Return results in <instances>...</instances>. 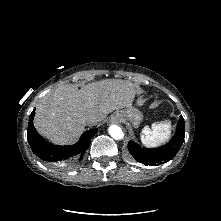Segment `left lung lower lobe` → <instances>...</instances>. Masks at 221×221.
I'll use <instances>...</instances> for the list:
<instances>
[{
  "mask_svg": "<svg viewBox=\"0 0 221 221\" xmlns=\"http://www.w3.org/2000/svg\"><path fill=\"white\" fill-rule=\"evenodd\" d=\"M185 136V124L184 118L180 116V120L177 124V131L174 137L166 145L156 148L148 149L141 148L134 142H129L128 150L133 158L146 166L159 165L171 160L179 151L181 145L183 144Z\"/></svg>",
  "mask_w": 221,
  "mask_h": 221,
  "instance_id": "left-lung-lower-lobe-1",
  "label": "left lung lower lobe"
}]
</instances>
